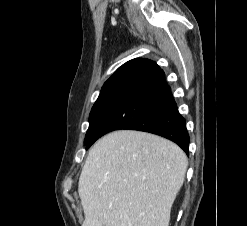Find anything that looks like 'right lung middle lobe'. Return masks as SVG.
Returning <instances> with one entry per match:
<instances>
[{"label": "right lung middle lobe", "instance_id": "1", "mask_svg": "<svg viewBox=\"0 0 247 226\" xmlns=\"http://www.w3.org/2000/svg\"><path fill=\"white\" fill-rule=\"evenodd\" d=\"M122 67H120L103 85L102 90L100 92V95L98 99L96 100L95 104L92 107L90 116H89V128L86 133V137L84 140V143L86 144L88 140L91 138L93 129L95 125L97 124L101 113L106 105V102L117 83L118 77L120 75Z\"/></svg>", "mask_w": 247, "mask_h": 226}]
</instances>
